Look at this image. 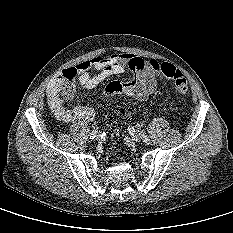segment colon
Segmentation results:
<instances>
[{
	"mask_svg": "<svg viewBox=\"0 0 233 233\" xmlns=\"http://www.w3.org/2000/svg\"><path fill=\"white\" fill-rule=\"evenodd\" d=\"M158 71L161 76L170 79L174 82L175 89L180 94L188 92V83L182 73L172 64L162 63L158 66ZM74 95V77L73 75L67 76L60 83V96L64 98H72ZM122 114L125 113L123 108L119 109Z\"/></svg>",
	"mask_w": 233,
	"mask_h": 233,
	"instance_id": "5ec220e1",
	"label": "colon"
}]
</instances>
